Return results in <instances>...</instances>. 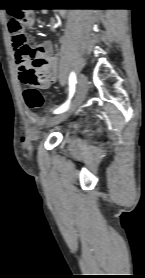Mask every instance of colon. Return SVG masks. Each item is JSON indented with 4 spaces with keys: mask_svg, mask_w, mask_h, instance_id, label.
Instances as JSON below:
<instances>
[{
    "mask_svg": "<svg viewBox=\"0 0 145 278\" xmlns=\"http://www.w3.org/2000/svg\"><path fill=\"white\" fill-rule=\"evenodd\" d=\"M31 22V14L28 10L23 8H15L12 11L11 20L9 22V32L19 49V53H25L26 55H33V52L29 45L27 44L26 27ZM42 72L39 66L34 62L33 66L28 69L22 76V81L24 83L23 98L26 105L34 110L42 107L43 96L37 85L42 82ZM24 151L29 152L30 146L26 143L23 145Z\"/></svg>",
    "mask_w": 145,
    "mask_h": 278,
    "instance_id": "colon-1",
    "label": "colon"
}]
</instances>
